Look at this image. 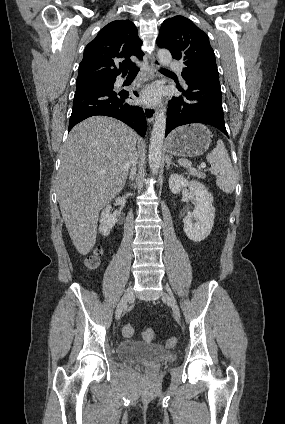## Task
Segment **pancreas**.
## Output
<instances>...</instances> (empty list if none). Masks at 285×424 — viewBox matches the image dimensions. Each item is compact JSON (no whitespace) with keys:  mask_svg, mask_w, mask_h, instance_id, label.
Instances as JSON below:
<instances>
[{"mask_svg":"<svg viewBox=\"0 0 285 424\" xmlns=\"http://www.w3.org/2000/svg\"><path fill=\"white\" fill-rule=\"evenodd\" d=\"M189 173L193 176L198 177V178H204L205 177V174L203 172L196 170L194 168H191V167L189 168Z\"/></svg>","mask_w":285,"mask_h":424,"instance_id":"obj_1","label":"pancreas"}]
</instances>
